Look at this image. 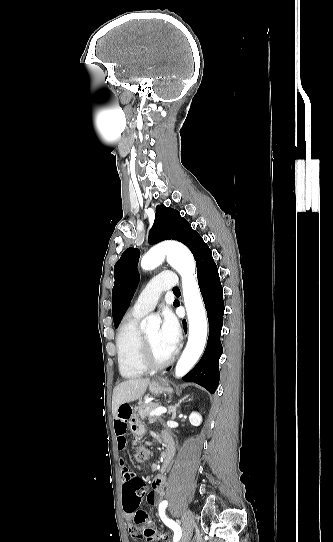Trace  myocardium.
I'll use <instances>...</instances> for the list:
<instances>
[{"label": "myocardium", "instance_id": "f54148a6", "mask_svg": "<svg viewBox=\"0 0 333 542\" xmlns=\"http://www.w3.org/2000/svg\"><path fill=\"white\" fill-rule=\"evenodd\" d=\"M178 351L175 350L173 354L163 361L156 360L151 351L150 344L148 342V339L145 334L141 335L140 341H139V347H138V360L140 365L146 369V370H159L163 369L170 364H172L176 357H177Z\"/></svg>", "mask_w": 333, "mask_h": 542}]
</instances>
